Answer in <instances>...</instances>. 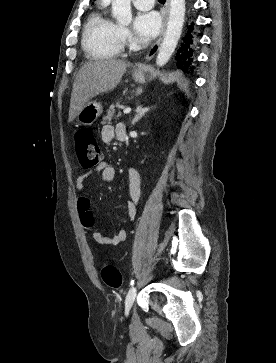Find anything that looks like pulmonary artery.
I'll return each mask as SVG.
<instances>
[{"label":"pulmonary artery","instance_id":"pulmonary-artery-1","mask_svg":"<svg viewBox=\"0 0 276 363\" xmlns=\"http://www.w3.org/2000/svg\"><path fill=\"white\" fill-rule=\"evenodd\" d=\"M133 4L140 10H149L154 5V0H133Z\"/></svg>","mask_w":276,"mask_h":363}]
</instances>
